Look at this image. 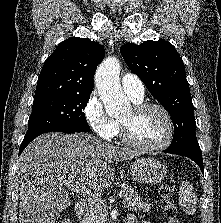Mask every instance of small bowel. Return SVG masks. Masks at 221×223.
I'll return each instance as SVG.
<instances>
[{
  "instance_id": "1",
  "label": "small bowel",
  "mask_w": 221,
  "mask_h": 223,
  "mask_svg": "<svg viewBox=\"0 0 221 223\" xmlns=\"http://www.w3.org/2000/svg\"><path fill=\"white\" fill-rule=\"evenodd\" d=\"M126 223H149V222H147V221H138L134 216L129 215L127 217Z\"/></svg>"
}]
</instances>
